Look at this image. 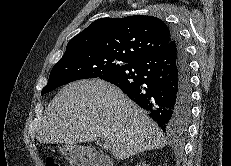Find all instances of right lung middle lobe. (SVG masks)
Listing matches in <instances>:
<instances>
[{
    "mask_svg": "<svg viewBox=\"0 0 231 166\" xmlns=\"http://www.w3.org/2000/svg\"><path fill=\"white\" fill-rule=\"evenodd\" d=\"M129 62L123 58L87 50L63 55L51 70L49 81L41 95L76 80L97 78Z\"/></svg>",
    "mask_w": 231,
    "mask_h": 166,
    "instance_id": "right-lung-middle-lobe-1",
    "label": "right lung middle lobe"
}]
</instances>
